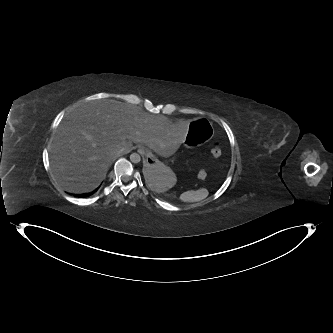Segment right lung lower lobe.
Masks as SVG:
<instances>
[{
    "mask_svg": "<svg viewBox=\"0 0 333 333\" xmlns=\"http://www.w3.org/2000/svg\"><path fill=\"white\" fill-rule=\"evenodd\" d=\"M97 190V189H96ZM95 190V191H96ZM95 191H93L91 194H93ZM87 196H89V194H81V195H77V197H81V198H83V197H87Z\"/></svg>",
    "mask_w": 333,
    "mask_h": 333,
    "instance_id": "98d812e1",
    "label": "right lung lower lobe"
}]
</instances>
